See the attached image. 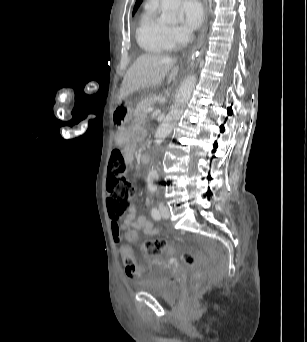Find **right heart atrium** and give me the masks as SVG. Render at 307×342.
I'll return each mask as SVG.
<instances>
[{
  "label": "right heart atrium",
  "mask_w": 307,
  "mask_h": 342,
  "mask_svg": "<svg viewBox=\"0 0 307 342\" xmlns=\"http://www.w3.org/2000/svg\"><path fill=\"white\" fill-rule=\"evenodd\" d=\"M162 37L164 41L170 46H177L179 43V31L177 29H162Z\"/></svg>",
  "instance_id": "obj_1"
}]
</instances>
